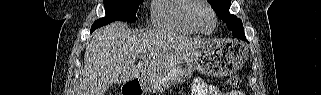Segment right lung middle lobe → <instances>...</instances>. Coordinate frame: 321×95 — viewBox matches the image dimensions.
I'll list each match as a JSON object with an SVG mask.
<instances>
[{
  "mask_svg": "<svg viewBox=\"0 0 321 95\" xmlns=\"http://www.w3.org/2000/svg\"><path fill=\"white\" fill-rule=\"evenodd\" d=\"M143 0H104L106 16L96 20L91 32L114 21L135 22L136 12Z\"/></svg>",
  "mask_w": 321,
  "mask_h": 95,
  "instance_id": "1",
  "label": "right lung middle lobe"
}]
</instances>
